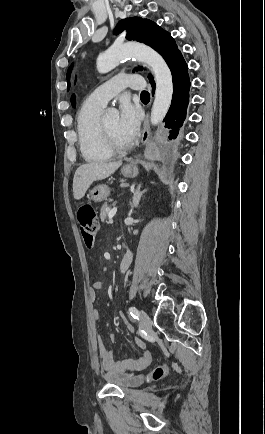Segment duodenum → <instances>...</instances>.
<instances>
[{"instance_id":"obj_1","label":"duodenum","mask_w":265,"mask_h":434,"mask_svg":"<svg viewBox=\"0 0 265 434\" xmlns=\"http://www.w3.org/2000/svg\"><path fill=\"white\" fill-rule=\"evenodd\" d=\"M133 253L131 250L127 251L119 261L118 272L124 274L127 271V268L132 260Z\"/></svg>"}]
</instances>
